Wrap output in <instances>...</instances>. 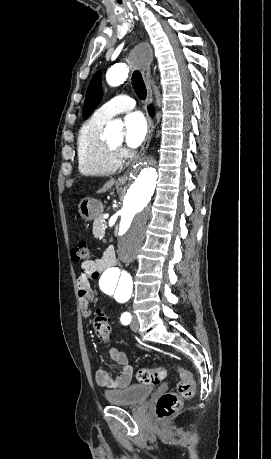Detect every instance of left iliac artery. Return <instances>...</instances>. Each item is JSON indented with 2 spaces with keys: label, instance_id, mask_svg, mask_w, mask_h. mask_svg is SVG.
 Here are the masks:
<instances>
[{
  "label": "left iliac artery",
  "instance_id": "44dca946",
  "mask_svg": "<svg viewBox=\"0 0 271 459\" xmlns=\"http://www.w3.org/2000/svg\"><path fill=\"white\" fill-rule=\"evenodd\" d=\"M131 319H132V317H131V314L129 312H124L121 315V318H120L122 324H124V325L129 324L131 322Z\"/></svg>",
  "mask_w": 271,
  "mask_h": 459
}]
</instances>
